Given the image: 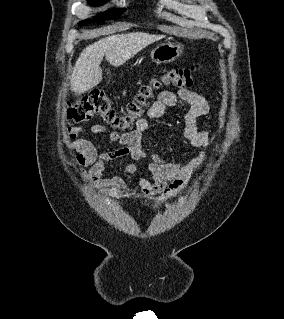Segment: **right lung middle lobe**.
<instances>
[{"label": "right lung middle lobe", "mask_w": 284, "mask_h": 319, "mask_svg": "<svg viewBox=\"0 0 284 319\" xmlns=\"http://www.w3.org/2000/svg\"><path fill=\"white\" fill-rule=\"evenodd\" d=\"M105 1L106 0H88V2L90 4H93V5H101V4L105 3ZM121 14H122V11H109V12L101 13L96 17V21L101 22V21H104L106 19L117 18ZM86 23H88V22L86 21V22H83L81 24H86Z\"/></svg>", "instance_id": "obj_1"}]
</instances>
